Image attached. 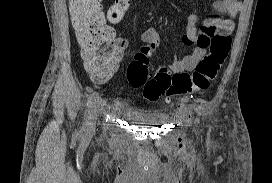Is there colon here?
Here are the masks:
<instances>
[{"instance_id":"5ec220e1","label":"colon","mask_w":272,"mask_h":183,"mask_svg":"<svg viewBox=\"0 0 272 183\" xmlns=\"http://www.w3.org/2000/svg\"><path fill=\"white\" fill-rule=\"evenodd\" d=\"M129 5L130 0H115L105 14L102 0H69L71 22L81 56L93 79H106L119 63L110 23L121 22ZM212 35L213 38L208 41L209 53L192 72L172 74L167 69H160L152 74L148 69V55L157 46L142 47L128 66L129 84L142 89L143 97L148 101L206 90L226 61L231 47V39L227 34Z\"/></svg>"}]
</instances>
